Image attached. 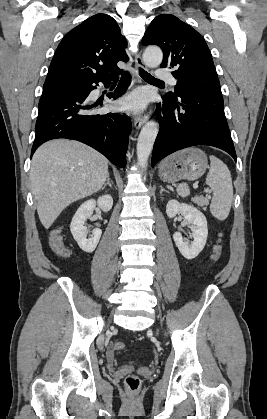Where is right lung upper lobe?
Segmentation results:
<instances>
[{
	"label": "right lung upper lobe",
	"mask_w": 267,
	"mask_h": 419,
	"mask_svg": "<svg viewBox=\"0 0 267 419\" xmlns=\"http://www.w3.org/2000/svg\"><path fill=\"white\" fill-rule=\"evenodd\" d=\"M116 21L96 14L69 31L58 45L44 85L82 83L116 75L118 61L129 60Z\"/></svg>",
	"instance_id": "obj_1"
}]
</instances>
